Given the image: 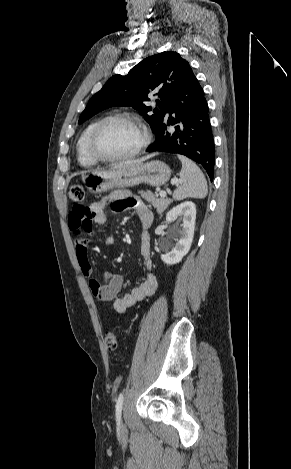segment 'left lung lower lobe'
Returning <instances> with one entry per match:
<instances>
[{"instance_id": "left-lung-lower-lobe-1", "label": "left lung lower lobe", "mask_w": 291, "mask_h": 469, "mask_svg": "<svg viewBox=\"0 0 291 469\" xmlns=\"http://www.w3.org/2000/svg\"><path fill=\"white\" fill-rule=\"evenodd\" d=\"M156 139L147 152L178 153L199 163L210 180L214 178L215 145L203 89L192 69L179 91L169 101ZM174 113V117L172 114ZM176 125L174 130L169 126Z\"/></svg>"}]
</instances>
